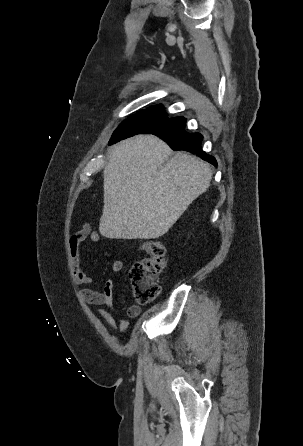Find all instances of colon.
I'll use <instances>...</instances> for the list:
<instances>
[{
	"label": "colon",
	"instance_id": "colon-1",
	"mask_svg": "<svg viewBox=\"0 0 303 446\" xmlns=\"http://www.w3.org/2000/svg\"><path fill=\"white\" fill-rule=\"evenodd\" d=\"M140 249L148 254V258L135 263L129 272L132 293L141 304L154 301L161 293L157 279L167 264L166 248L157 240H146Z\"/></svg>",
	"mask_w": 303,
	"mask_h": 446
}]
</instances>
